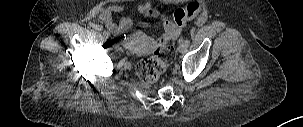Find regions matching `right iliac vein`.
I'll return each instance as SVG.
<instances>
[{
    "label": "right iliac vein",
    "mask_w": 303,
    "mask_h": 127,
    "mask_svg": "<svg viewBox=\"0 0 303 127\" xmlns=\"http://www.w3.org/2000/svg\"><path fill=\"white\" fill-rule=\"evenodd\" d=\"M108 40H109V42H110V44H111L112 47L118 48V45L115 43V41L113 40L112 37L109 36Z\"/></svg>",
    "instance_id": "obj_1"
}]
</instances>
